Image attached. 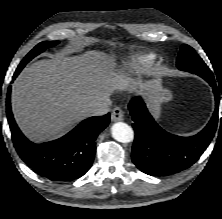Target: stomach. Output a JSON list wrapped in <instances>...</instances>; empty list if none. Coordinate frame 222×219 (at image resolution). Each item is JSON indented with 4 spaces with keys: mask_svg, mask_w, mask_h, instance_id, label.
Listing matches in <instances>:
<instances>
[{
    "mask_svg": "<svg viewBox=\"0 0 222 219\" xmlns=\"http://www.w3.org/2000/svg\"><path fill=\"white\" fill-rule=\"evenodd\" d=\"M149 101V106L153 112H157L163 103H167L173 98L171 90L162 84H156L152 90L146 95Z\"/></svg>",
    "mask_w": 222,
    "mask_h": 219,
    "instance_id": "obj_1",
    "label": "stomach"
}]
</instances>
